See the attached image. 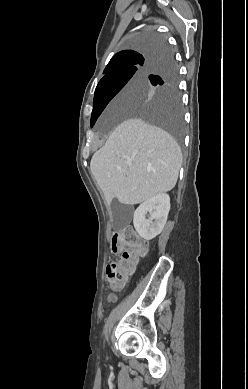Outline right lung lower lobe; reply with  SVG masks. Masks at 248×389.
<instances>
[{"label":"right lung lower lobe","mask_w":248,"mask_h":389,"mask_svg":"<svg viewBox=\"0 0 248 389\" xmlns=\"http://www.w3.org/2000/svg\"><path fill=\"white\" fill-rule=\"evenodd\" d=\"M168 51V48H167V46L165 45V43H164V45L162 46V48L158 51V55H161L160 57H159V59H163L162 57V55H164L166 52ZM158 76L157 75H155L154 76V79H156Z\"/></svg>","instance_id":"1"}]
</instances>
